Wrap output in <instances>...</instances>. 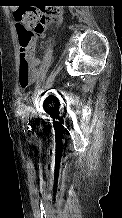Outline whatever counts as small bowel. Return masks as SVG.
Returning <instances> with one entry per match:
<instances>
[{"label":"small bowel","instance_id":"1","mask_svg":"<svg viewBox=\"0 0 122 218\" xmlns=\"http://www.w3.org/2000/svg\"><path fill=\"white\" fill-rule=\"evenodd\" d=\"M38 63H39V60H33V65H34V68H35V78L37 77V75H38V67H39V65H38ZM34 78V79H35Z\"/></svg>","mask_w":122,"mask_h":218}]
</instances>
